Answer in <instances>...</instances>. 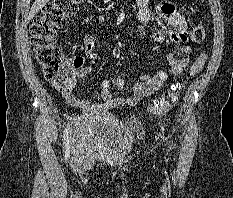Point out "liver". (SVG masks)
Returning a JSON list of instances; mask_svg holds the SVG:
<instances>
[{
  "label": "liver",
  "mask_w": 233,
  "mask_h": 198,
  "mask_svg": "<svg viewBox=\"0 0 233 198\" xmlns=\"http://www.w3.org/2000/svg\"><path fill=\"white\" fill-rule=\"evenodd\" d=\"M49 2V0H35L29 15H28V22L33 19V17Z\"/></svg>",
  "instance_id": "1"
}]
</instances>
